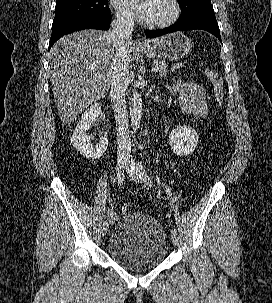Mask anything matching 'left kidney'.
I'll use <instances>...</instances> for the list:
<instances>
[{"instance_id": "5707ae66", "label": "left kidney", "mask_w": 272, "mask_h": 303, "mask_svg": "<svg viewBox=\"0 0 272 303\" xmlns=\"http://www.w3.org/2000/svg\"><path fill=\"white\" fill-rule=\"evenodd\" d=\"M198 134L190 126H177L169 134V144L178 156H187L195 150L198 144Z\"/></svg>"}]
</instances>
